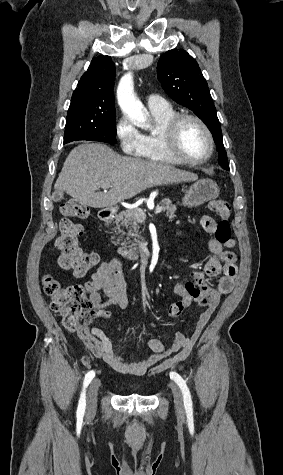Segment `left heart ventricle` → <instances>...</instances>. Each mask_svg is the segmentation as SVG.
<instances>
[{
	"instance_id": "1",
	"label": "left heart ventricle",
	"mask_w": 283,
	"mask_h": 475,
	"mask_svg": "<svg viewBox=\"0 0 283 475\" xmlns=\"http://www.w3.org/2000/svg\"><path fill=\"white\" fill-rule=\"evenodd\" d=\"M208 149L203 129L193 120H185L181 124L176 144H166V151L172 157L198 158L205 155Z\"/></svg>"
}]
</instances>
